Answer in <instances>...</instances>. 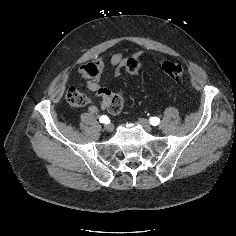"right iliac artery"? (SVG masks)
Returning a JSON list of instances; mask_svg holds the SVG:
<instances>
[{
    "instance_id": "1",
    "label": "right iliac artery",
    "mask_w": 236,
    "mask_h": 236,
    "mask_svg": "<svg viewBox=\"0 0 236 236\" xmlns=\"http://www.w3.org/2000/svg\"><path fill=\"white\" fill-rule=\"evenodd\" d=\"M99 121H100L101 123L107 124V123L109 122V118H108V116H106V115H102V116L99 118Z\"/></svg>"
}]
</instances>
